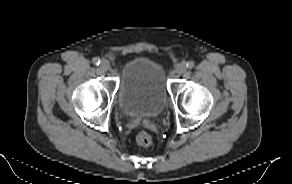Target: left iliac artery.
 Segmentation results:
<instances>
[{
  "instance_id": "left-iliac-artery-1",
  "label": "left iliac artery",
  "mask_w": 292,
  "mask_h": 184,
  "mask_svg": "<svg viewBox=\"0 0 292 184\" xmlns=\"http://www.w3.org/2000/svg\"><path fill=\"white\" fill-rule=\"evenodd\" d=\"M186 67H187L188 69H192V68L194 67V62H193V61H189V62H187V63H186Z\"/></svg>"
}]
</instances>
